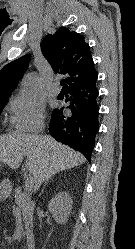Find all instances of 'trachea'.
Instances as JSON below:
<instances>
[{
  "instance_id": "trachea-1",
  "label": "trachea",
  "mask_w": 135,
  "mask_h": 249,
  "mask_svg": "<svg viewBox=\"0 0 135 249\" xmlns=\"http://www.w3.org/2000/svg\"><path fill=\"white\" fill-rule=\"evenodd\" d=\"M61 85L63 86V88H66V87H67L66 81H65V80H62V81H61Z\"/></svg>"
}]
</instances>
